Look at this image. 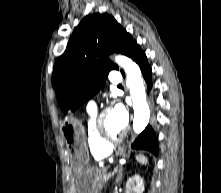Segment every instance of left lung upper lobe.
<instances>
[{"instance_id":"5c2ea615","label":"left lung upper lobe","mask_w":221,"mask_h":193,"mask_svg":"<svg viewBox=\"0 0 221 193\" xmlns=\"http://www.w3.org/2000/svg\"><path fill=\"white\" fill-rule=\"evenodd\" d=\"M135 44L136 40L111 15H87L54 65L52 82L61 110L75 111L98 93L108 73L119 70L108 61L109 54L128 56Z\"/></svg>"}]
</instances>
